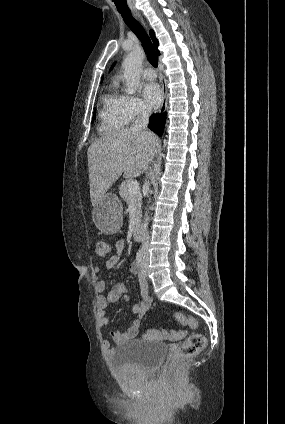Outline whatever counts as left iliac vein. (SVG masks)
I'll list each match as a JSON object with an SVG mask.
<instances>
[{
    "label": "left iliac vein",
    "instance_id": "obj_1",
    "mask_svg": "<svg viewBox=\"0 0 285 424\" xmlns=\"http://www.w3.org/2000/svg\"><path fill=\"white\" fill-rule=\"evenodd\" d=\"M147 264H148V254L145 253L143 260H142V264H141V274L144 277H147Z\"/></svg>",
    "mask_w": 285,
    "mask_h": 424
}]
</instances>
